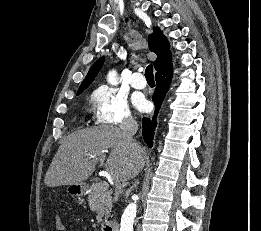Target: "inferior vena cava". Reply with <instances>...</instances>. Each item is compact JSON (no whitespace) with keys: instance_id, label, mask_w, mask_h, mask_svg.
<instances>
[{"instance_id":"inferior-vena-cava-1","label":"inferior vena cava","mask_w":261,"mask_h":231,"mask_svg":"<svg viewBox=\"0 0 261 231\" xmlns=\"http://www.w3.org/2000/svg\"><path fill=\"white\" fill-rule=\"evenodd\" d=\"M120 129L125 142L130 145L135 152H137L139 145L133 139V136L138 130L137 122L131 116L125 117L120 124Z\"/></svg>"}]
</instances>
